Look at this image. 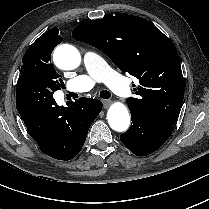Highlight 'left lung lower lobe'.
I'll list each match as a JSON object with an SVG mask.
<instances>
[{
  "mask_svg": "<svg viewBox=\"0 0 209 209\" xmlns=\"http://www.w3.org/2000/svg\"><path fill=\"white\" fill-rule=\"evenodd\" d=\"M133 124L120 136L121 142L135 155L146 156L159 149L170 137L173 125L130 108Z\"/></svg>",
  "mask_w": 209,
  "mask_h": 209,
  "instance_id": "obj_1",
  "label": "left lung lower lobe"
}]
</instances>
